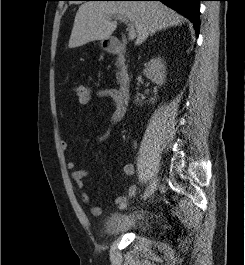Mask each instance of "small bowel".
Here are the masks:
<instances>
[{
    "mask_svg": "<svg viewBox=\"0 0 245 265\" xmlns=\"http://www.w3.org/2000/svg\"><path fill=\"white\" fill-rule=\"evenodd\" d=\"M97 96L99 98L109 99L114 106V111L110 119V126H113L124 117L126 112V102L122 99L117 89L114 88L100 89L97 92ZM109 134H110V128H108L107 131L98 138V140L100 142L105 141L108 138ZM61 147L63 150L68 149V142L63 140L61 142ZM67 167L71 170V178L75 183L76 187L78 188V190L80 191V199L84 203L90 204L91 198L84 190L85 188L84 180L89 175V171L86 169L77 168L76 163L73 160L68 161ZM123 173L127 177L133 176L135 173L134 166L132 164H126L123 168ZM136 193H137V188L135 186H131L128 189L127 194L118 196L115 199V202L118 205L121 203H125L129 198L135 196ZM90 212L94 216H99L102 213V209L99 206L92 205L90 207Z\"/></svg>",
    "mask_w": 245,
    "mask_h": 265,
    "instance_id": "obj_1",
    "label": "small bowel"
}]
</instances>
